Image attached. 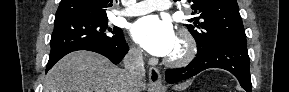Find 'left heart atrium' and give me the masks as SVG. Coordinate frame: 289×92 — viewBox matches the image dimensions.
I'll return each instance as SVG.
<instances>
[{
    "label": "left heart atrium",
    "instance_id": "1",
    "mask_svg": "<svg viewBox=\"0 0 289 92\" xmlns=\"http://www.w3.org/2000/svg\"><path fill=\"white\" fill-rule=\"evenodd\" d=\"M132 38L155 56H169L177 37L170 22L150 15L137 20L131 27Z\"/></svg>",
    "mask_w": 289,
    "mask_h": 92
}]
</instances>
